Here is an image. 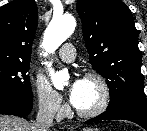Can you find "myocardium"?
Listing matches in <instances>:
<instances>
[{"instance_id": "myocardium-1", "label": "myocardium", "mask_w": 147, "mask_h": 131, "mask_svg": "<svg viewBox=\"0 0 147 131\" xmlns=\"http://www.w3.org/2000/svg\"><path fill=\"white\" fill-rule=\"evenodd\" d=\"M85 79L93 81L100 90V100L98 104L90 110H80L75 108L76 114L82 118H93L105 112L111 101V90L106 79L96 72H89L85 75Z\"/></svg>"}]
</instances>
